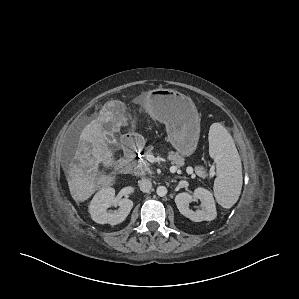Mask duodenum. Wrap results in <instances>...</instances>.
I'll use <instances>...</instances> for the list:
<instances>
[{
  "label": "duodenum",
  "instance_id": "duodenum-1",
  "mask_svg": "<svg viewBox=\"0 0 299 299\" xmlns=\"http://www.w3.org/2000/svg\"><path fill=\"white\" fill-rule=\"evenodd\" d=\"M125 157L117 163V170L120 173H126L130 167V161L137 155V146L132 137L124 141Z\"/></svg>",
  "mask_w": 299,
  "mask_h": 299
}]
</instances>
